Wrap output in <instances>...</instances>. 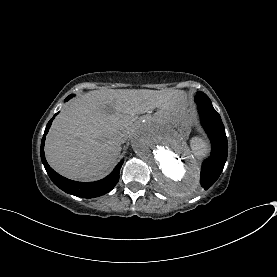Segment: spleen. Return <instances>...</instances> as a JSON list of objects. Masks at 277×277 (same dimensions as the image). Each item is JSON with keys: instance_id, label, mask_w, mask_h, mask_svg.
<instances>
[{"instance_id": "3e777b00", "label": "spleen", "mask_w": 277, "mask_h": 277, "mask_svg": "<svg viewBox=\"0 0 277 277\" xmlns=\"http://www.w3.org/2000/svg\"><path fill=\"white\" fill-rule=\"evenodd\" d=\"M193 150H197L198 153H203L205 150V145L203 142L195 139L192 141Z\"/></svg>"}]
</instances>
